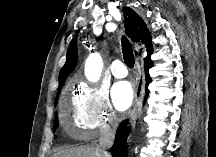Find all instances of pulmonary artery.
Instances as JSON below:
<instances>
[{
	"label": "pulmonary artery",
	"mask_w": 216,
	"mask_h": 157,
	"mask_svg": "<svg viewBox=\"0 0 216 157\" xmlns=\"http://www.w3.org/2000/svg\"><path fill=\"white\" fill-rule=\"evenodd\" d=\"M111 72L116 78L127 76V68L121 60H114L111 64Z\"/></svg>",
	"instance_id": "obj_1"
}]
</instances>
